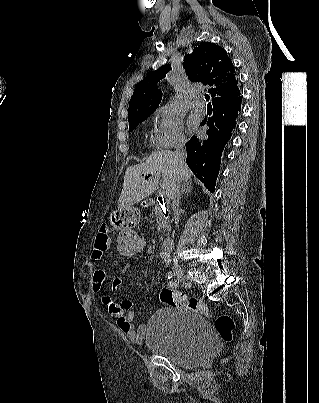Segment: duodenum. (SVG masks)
Segmentation results:
<instances>
[{
  "mask_svg": "<svg viewBox=\"0 0 319 403\" xmlns=\"http://www.w3.org/2000/svg\"><path fill=\"white\" fill-rule=\"evenodd\" d=\"M173 245H174L173 239L171 238V236H169L168 234H165L163 237V247H164L166 253H169L172 251Z\"/></svg>",
  "mask_w": 319,
  "mask_h": 403,
  "instance_id": "1",
  "label": "duodenum"
}]
</instances>
